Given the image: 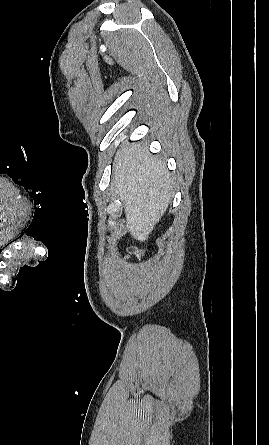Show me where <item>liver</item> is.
<instances>
[{"instance_id":"obj_1","label":"liver","mask_w":269,"mask_h":445,"mask_svg":"<svg viewBox=\"0 0 269 445\" xmlns=\"http://www.w3.org/2000/svg\"><path fill=\"white\" fill-rule=\"evenodd\" d=\"M112 184L124 206L127 228L138 241H146L171 200L174 181L165 163L145 146L123 144L114 159Z\"/></svg>"}]
</instances>
